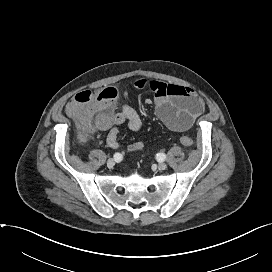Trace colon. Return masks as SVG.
<instances>
[{
  "label": "colon",
  "instance_id": "5ec220e1",
  "mask_svg": "<svg viewBox=\"0 0 272 272\" xmlns=\"http://www.w3.org/2000/svg\"><path fill=\"white\" fill-rule=\"evenodd\" d=\"M116 98V90L110 87L97 91H82L69 100L66 111L77 123L81 135L87 137L103 117L110 115ZM180 143L189 147L193 145V140L188 136H182Z\"/></svg>",
  "mask_w": 272,
  "mask_h": 272
}]
</instances>
